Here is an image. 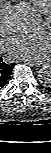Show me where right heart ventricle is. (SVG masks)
I'll return each instance as SVG.
<instances>
[{
  "instance_id": "1",
  "label": "right heart ventricle",
  "mask_w": 51,
  "mask_h": 153,
  "mask_svg": "<svg viewBox=\"0 0 51 153\" xmlns=\"http://www.w3.org/2000/svg\"><path fill=\"white\" fill-rule=\"evenodd\" d=\"M31 2L42 14H48L51 11V0H31Z\"/></svg>"
}]
</instances>
